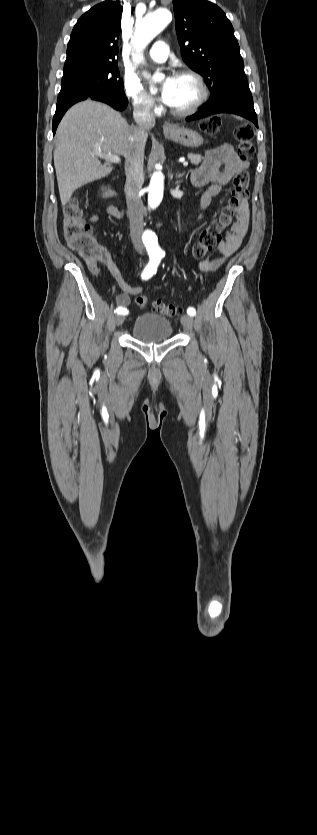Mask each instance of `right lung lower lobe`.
Wrapping results in <instances>:
<instances>
[{
	"label": "right lung lower lobe",
	"mask_w": 317,
	"mask_h": 835,
	"mask_svg": "<svg viewBox=\"0 0 317 835\" xmlns=\"http://www.w3.org/2000/svg\"><path fill=\"white\" fill-rule=\"evenodd\" d=\"M86 99H89V100L92 99V100H97V101L107 103L110 106H112L113 108H115L116 110H120V111L124 110L128 105V100L125 97V94H119V93L109 91V90L96 91V92H92V93L82 94V95L74 96V97H71L69 99L60 101L56 105V112H55V115H54V118H53V125H52L53 134H55L58 123L60 122L61 118L63 117V115L65 114L67 109L70 106H72L73 104H75L79 101H82V100H86Z\"/></svg>",
	"instance_id": "obj_1"
}]
</instances>
